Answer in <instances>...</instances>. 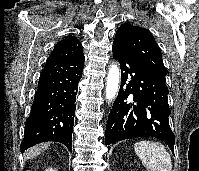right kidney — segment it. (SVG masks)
<instances>
[{
    "mask_svg": "<svg viewBox=\"0 0 199 171\" xmlns=\"http://www.w3.org/2000/svg\"><path fill=\"white\" fill-rule=\"evenodd\" d=\"M45 171H57V170H54L53 168H48Z\"/></svg>",
    "mask_w": 199,
    "mask_h": 171,
    "instance_id": "1",
    "label": "right kidney"
}]
</instances>
